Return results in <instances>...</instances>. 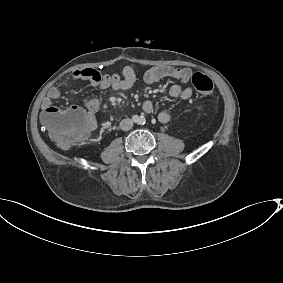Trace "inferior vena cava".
Returning a JSON list of instances; mask_svg holds the SVG:
<instances>
[{
    "instance_id": "obj_1",
    "label": "inferior vena cava",
    "mask_w": 283,
    "mask_h": 283,
    "mask_svg": "<svg viewBox=\"0 0 283 283\" xmlns=\"http://www.w3.org/2000/svg\"><path fill=\"white\" fill-rule=\"evenodd\" d=\"M132 127H133V121H132L131 119H123V120L120 122V128H121L123 131H128V130H130Z\"/></svg>"
}]
</instances>
